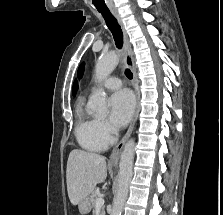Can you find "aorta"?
I'll return each mask as SVG.
<instances>
[{"mask_svg":"<svg viewBox=\"0 0 223 215\" xmlns=\"http://www.w3.org/2000/svg\"><path fill=\"white\" fill-rule=\"evenodd\" d=\"M119 64V56L116 52H108L104 56H100L95 66V76L97 82L106 80L116 66ZM90 111H94L98 117H105L108 113L105 92L99 90L91 96L88 102ZM134 139H128L125 147L120 155V169L118 179V191L114 197V203L110 215H121L123 205L127 199L129 183L132 179L133 157H134Z\"/></svg>","mask_w":223,"mask_h":215,"instance_id":"obj_1","label":"aorta"}]
</instances>
